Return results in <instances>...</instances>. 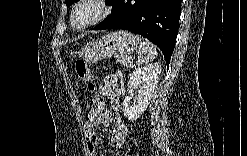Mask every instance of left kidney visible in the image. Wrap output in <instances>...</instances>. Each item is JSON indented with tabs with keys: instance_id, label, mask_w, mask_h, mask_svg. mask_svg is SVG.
<instances>
[{
	"instance_id": "1",
	"label": "left kidney",
	"mask_w": 247,
	"mask_h": 156,
	"mask_svg": "<svg viewBox=\"0 0 247 156\" xmlns=\"http://www.w3.org/2000/svg\"><path fill=\"white\" fill-rule=\"evenodd\" d=\"M161 73L160 63H151L137 67L129 79V92L132 94L137 89V95L132 100L131 96L123 101V112L126 118L133 121L138 119L147 109L155 92Z\"/></svg>"
}]
</instances>
